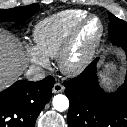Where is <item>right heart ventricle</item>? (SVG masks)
Segmentation results:
<instances>
[{
  "label": "right heart ventricle",
  "mask_w": 127,
  "mask_h": 127,
  "mask_svg": "<svg viewBox=\"0 0 127 127\" xmlns=\"http://www.w3.org/2000/svg\"><path fill=\"white\" fill-rule=\"evenodd\" d=\"M87 15L84 10L70 9L40 20L33 30L36 48L47 58L58 56L73 28Z\"/></svg>",
  "instance_id": "e07e8e85"
}]
</instances>
